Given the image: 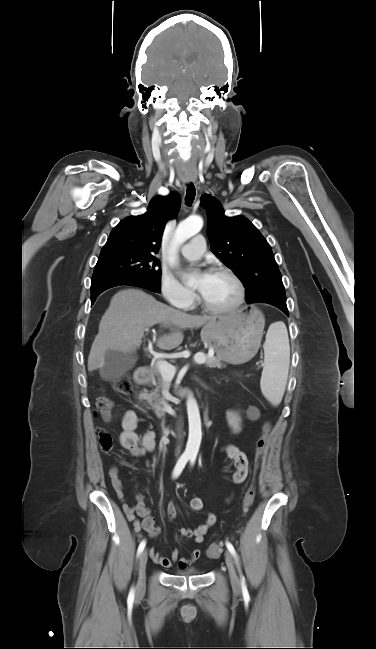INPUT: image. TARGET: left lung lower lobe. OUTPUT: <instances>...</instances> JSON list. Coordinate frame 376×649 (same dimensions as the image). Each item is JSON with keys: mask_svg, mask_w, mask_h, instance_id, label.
<instances>
[{"mask_svg": "<svg viewBox=\"0 0 376 649\" xmlns=\"http://www.w3.org/2000/svg\"><path fill=\"white\" fill-rule=\"evenodd\" d=\"M269 304H272V305L278 307V308H279L280 310H282V311H283L287 316H289L288 309H287V306H286V305H284V304H282V303H278V302H270Z\"/></svg>", "mask_w": 376, "mask_h": 649, "instance_id": "left-lung-lower-lobe-1", "label": "left lung lower lobe"}]
</instances>
